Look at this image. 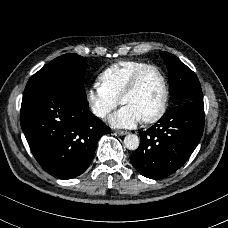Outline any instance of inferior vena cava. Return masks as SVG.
Listing matches in <instances>:
<instances>
[{
  "mask_svg": "<svg viewBox=\"0 0 228 228\" xmlns=\"http://www.w3.org/2000/svg\"><path fill=\"white\" fill-rule=\"evenodd\" d=\"M95 115L96 116H99V117H104L106 112L104 110H96L94 111Z\"/></svg>",
  "mask_w": 228,
  "mask_h": 228,
  "instance_id": "602c4592",
  "label": "inferior vena cava"
}]
</instances>
